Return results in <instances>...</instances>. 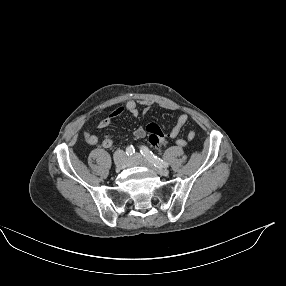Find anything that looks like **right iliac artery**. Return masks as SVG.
Wrapping results in <instances>:
<instances>
[{"mask_svg":"<svg viewBox=\"0 0 286 286\" xmlns=\"http://www.w3.org/2000/svg\"><path fill=\"white\" fill-rule=\"evenodd\" d=\"M134 153H135V149L132 145H130L126 148V154L128 156H132Z\"/></svg>","mask_w":286,"mask_h":286,"instance_id":"82829eb1","label":"right iliac artery"}]
</instances>
